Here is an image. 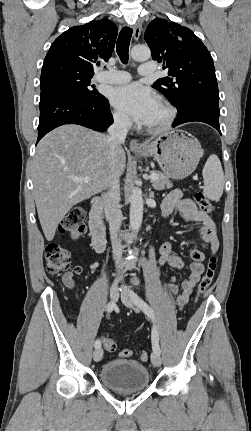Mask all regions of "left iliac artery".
I'll return each mask as SVG.
<instances>
[{
    "label": "left iliac artery",
    "instance_id": "44dca946",
    "mask_svg": "<svg viewBox=\"0 0 251 431\" xmlns=\"http://www.w3.org/2000/svg\"><path fill=\"white\" fill-rule=\"evenodd\" d=\"M133 294V300L134 303L137 307H139L153 322V328H152V336H151V340H152V348L153 351L160 354V346H159V336H158V331H157V327L155 325V315H154V311L152 310V308L142 299L140 298L137 294H135L134 292H132Z\"/></svg>",
    "mask_w": 251,
    "mask_h": 431
}]
</instances>
